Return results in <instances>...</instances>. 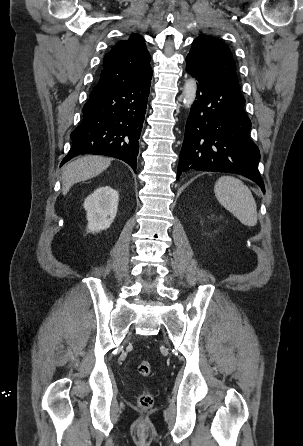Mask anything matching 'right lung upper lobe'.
Here are the masks:
<instances>
[{
	"instance_id": "right-lung-upper-lobe-1",
	"label": "right lung upper lobe",
	"mask_w": 303,
	"mask_h": 446,
	"mask_svg": "<svg viewBox=\"0 0 303 446\" xmlns=\"http://www.w3.org/2000/svg\"><path fill=\"white\" fill-rule=\"evenodd\" d=\"M150 59L141 35L132 34L127 41L118 42L104 57L99 82L90 96L149 77L152 75Z\"/></svg>"
}]
</instances>
